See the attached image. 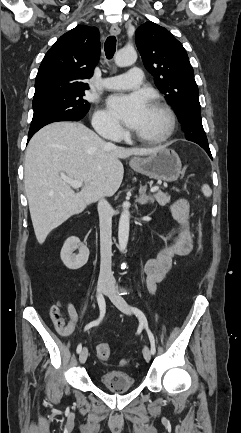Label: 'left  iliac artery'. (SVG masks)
Segmentation results:
<instances>
[{
	"label": "left iliac artery",
	"mask_w": 241,
	"mask_h": 433,
	"mask_svg": "<svg viewBox=\"0 0 241 433\" xmlns=\"http://www.w3.org/2000/svg\"><path fill=\"white\" fill-rule=\"evenodd\" d=\"M131 309L133 313L138 317L140 324L146 329L151 344V353L155 354L156 352L155 339L153 333L148 327V321L145 314L137 307H131Z\"/></svg>",
	"instance_id": "1"
}]
</instances>
